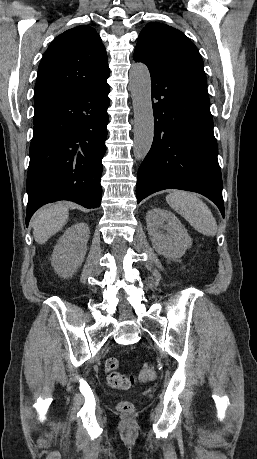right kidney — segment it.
Segmentation results:
<instances>
[{
	"label": "right kidney",
	"instance_id": "obj_1",
	"mask_svg": "<svg viewBox=\"0 0 257 459\" xmlns=\"http://www.w3.org/2000/svg\"><path fill=\"white\" fill-rule=\"evenodd\" d=\"M90 230L86 223L70 226L59 238L54 247L51 265L59 276L69 278L82 265L86 252Z\"/></svg>",
	"mask_w": 257,
	"mask_h": 459
}]
</instances>
